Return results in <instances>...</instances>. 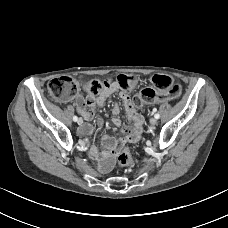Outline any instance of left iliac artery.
<instances>
[{
  "mask_svg": "<svg viewBox=\"0 0 228 228\" xmlns=\"http://www.w3.org/2000/svg\"><path fill=\"white\" fill-rule=\"evenodd\" d=\"M156 119H159L160 118V115L158 113L155 114L154 116Z\"/></svg>",
  "mask_w": 228,
  "mask_h": 228,
  "instance_id": "obj_1",
  "label": "left iliac artery"
}]
</instances>
